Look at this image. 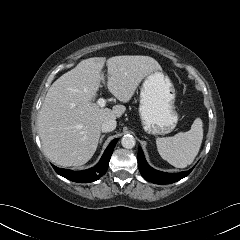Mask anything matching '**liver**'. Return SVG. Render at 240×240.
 I'll return each instance as SVG.
<instances>
[{
	"label": "liver",
	"mask_w": 240,
	"mask_h": 240,
	"mask_svg": "<svg viewBox=\"0 0 240 240\" xmlns=\"http://www.w3.org/2000/svg\"><path fill=\"white\" fill-rule=\"evenodd\" d=\"M105 62L107 87L123 103L132 98L144 77L161 70L149 56L93 57L59 77L49 88L37 119L43 152L51 162L63 167L87 163L97 149L103 121L125 112L123 105L109 109L93 102Z\"/></svg>",
	"instance_id": "liver-1"
}]
</instances>
